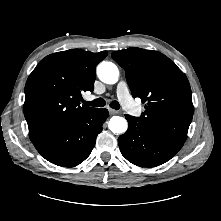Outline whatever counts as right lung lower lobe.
Listing matches in <instances>:
<instances>
[{
  "mask_svg": "<svg viewBox=\"0 0 221 221\" xmlns=\"http://www.w3.org/2000/svg\"><path fill=\"white\" fill-rule=\"evenodd\" d=\"M107 117V109H97L79 117L64 131L32 143L49 162L58 166L74 167L90 155Z\"/></svg>",
  "mask_w": 221,
  "mask_h": 221,
  "instance_id": "right-lung-lower-lobe-1",
  "label": "right lung lower lobe"
}]
</instances>
